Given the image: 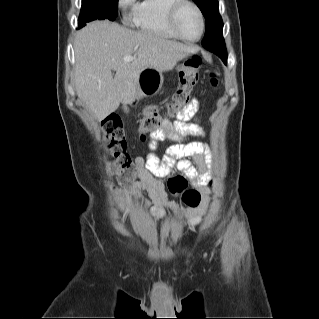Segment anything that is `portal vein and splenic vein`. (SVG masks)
Wrapping results in <instances>:
<instances>
[{"instance_id":"portal-vein-and-splenic-vein-1","label":"portal vein and splenic vein","mask_w":319,"mask_h":319,"mask_svg":"<svg viewBox=\"0 0 319 319\" xmlns=\"http://www.w3.org/2000/svg\"><path fill=\"white\" fill-rule=\"evenodd\" d=\"M133 59H134L133 56H125V57H123L124 61H132Z\"/></svg>"}]
</instances>
